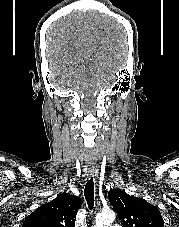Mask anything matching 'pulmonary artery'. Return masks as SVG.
Returning <instances> with one entry per match:
<instances>
[{
	"instance_id": "pulmonary-artery-1",
	"label": "pulmonary artery",
	"mask_w": 179,
	"mask_h": 227,
	"mask_svg": "<svg viewBox=\"0 0 179 227\" xmlns=\"http://www.w3.org/2000/svg\"><path fill=\"white\" fill-rule=\"evenodd\" d=\"M110 227H121V226L117 224H112Z\"/></svg>"
}]
</instances>
